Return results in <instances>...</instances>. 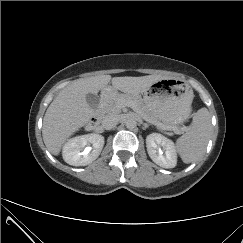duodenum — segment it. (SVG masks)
<instances>
[{"label": "duodenum", "mask_w": 243, "mask_h": 243, "mask_svg": "<svg viewBox=\"0 0 243 243\" xmlns=\"http://www.w3.org/2000/svg\"><path fill=\"white\" fill-rule=\"evenodd\" d=\"M112 93H113V90L111 88H105L102 91L101 99H100L101 107L108 101V99L111 97ZM101 115H102V110L100 108L89 119V121L86 125L87 129H89V130L95 129L100 122Z\"/></svg>", "instance_id": "obj_1"}]
</instances>
